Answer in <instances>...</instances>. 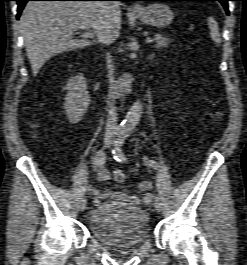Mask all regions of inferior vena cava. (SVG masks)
Masks as SVG:
<instances>
[{
    "instance_id": "obj_1",
    "label": "inferior vena cava",
    "mask_w": 247,
    "mask_h": 265,
    "mask_svg": "<svg viewBox=\"0 0 247 265\" xmlns=\"http://www.w3.org/2000/svg\"><path fill=\"white\" fill-rule=\"evenodd\" d=\"M106 63H107V69H108V78H109V108L107 113V120L105 125V131L107 135L113 134L118 126V114H117V107H116V99L118 97L117 92L115 91V77H114V64L112 63L111 56L109 53H107L106 56Z\"/></svg>"
}]
</instances>
